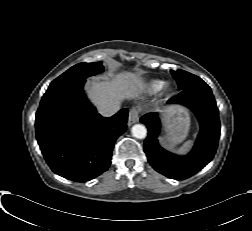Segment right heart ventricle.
<instances>
[{"label":"right heart ventricle","mask_w":252,"mask_h":231,"mask_svg":"<svg viewBox=\"0 0 252 231\" xmlns=\"http://www.w3.org/2000/svg\"><path fill=\"white\" fill-rule=\"evenodd\" d=\"M164 82L161 80H150L143 84L142 89L147 92L158 91L162 88Z\"/></svg>","instance_id":"e07e8e85"}]
</instances>
